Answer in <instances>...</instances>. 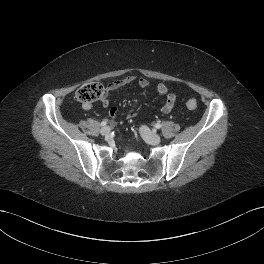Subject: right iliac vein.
Segmentation results:
<instances>
[{
	"mask_svg": "<svg viewBox=\"0 0 264 264\" xmlns=\"http://www.w3.org/2000/svg\"><path fill=\"white\" fill-rule=\"evenodd\" d=\"M110 131H111L110 127L105 126V127L101 128L100 133L103 136H107V135H109Z\"/></svg>",
	"mask_w": 264,
	"mask_h": 264,
	"instance_id": "obj_1",
	"label": "right iliac vein"
}]
</instances>
